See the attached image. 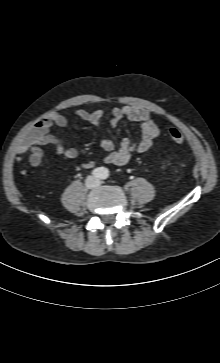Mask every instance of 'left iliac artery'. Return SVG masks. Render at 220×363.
<instances>
[{"instance_id": "obj_1", "label": "left iliac artery", "mask_w": 220, "mask_h": 363, "mask_svg": "<svg viewBox=\"0 0 220 363\" xmlns=\"http://www.w3.org/2000/svg\"><path fill=\"white\" fill-rule=\"evenodd\" d=\"M109 177V171L107 169H103L102 171V179H107Z\"/></svg>"}]
</instances>
